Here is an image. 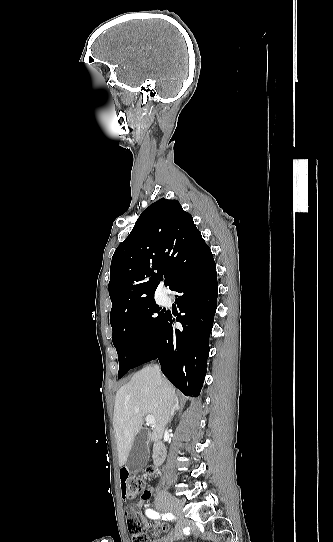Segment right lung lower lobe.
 Listing matches in <instances>:
<instances>
[{
    "label": "right lung lower lobe",
    "instance_id": "1",
    "mask_svg": "<svg viewBox=\"0 0 333 542\" xmlns=\"http://www.w3.org/2000/svg\"><path fill=\"white\" fill-rule=\"evenodd\" d=\"M176 263L177 278L170 289L178 293L180 313L175 318L166 312L152 347L134 367L158 358L164 375L186 396L197 397L206 374L217 307L216 264L204 239L180 248ZM175 321L182 329L174 327Z\"/></svg>",
    "mask_w": 333,
    "mask_h": 542
}]
</instances>
